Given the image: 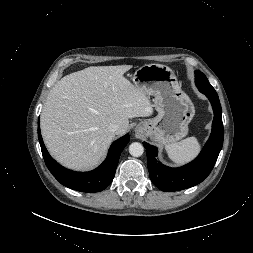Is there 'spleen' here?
Returning a JSON list of instances; mask_svg holds the SVG:
<instances>
[{
    "label": "spleen",
    "instance_id": "3e777b00",
    "mask_svg": "<svg viewBox=\"0 0 253 253\" xmlns=\"http://www.w3.org/2000/svg\"><path fill=\"white\" fill-rule=\"evenodd\" d=\"M168 157L176 164L182 165L193 160L200 152L201 145L196 137H188L180 142L165 147Z\"/></svg>",
    "mask_w": 253,
    "mask_h": 253
}]
</instances>
